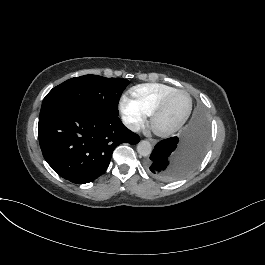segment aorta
Masks as SVG:
<instances>
[{
  "mask_svg": "<svg viewBox=\"0 0 265 265\" xmlns=\"http://www.w3.org/2000/svg\"><path fill=\"white\" fill-rule=\"evenodd\" d=\"M137 151L141 156H149L152 151V146L148 141H141L137 145Z\"/></svg>",
  "mask_w": 265,
  "mask_h": 265,
  "instance_id": "obj_1",
  "label": "aorta"
}]
</instances>
